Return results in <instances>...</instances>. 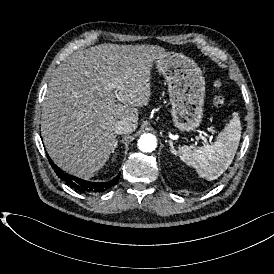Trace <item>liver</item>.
Returning a JSON list of instances; mask_svg holds the SVG:
<instances>
[{
  "label": "liver",
  "instance_id": "6515ba94",
  "mask_svg": "<svg viewBox=\"0 0 274 274\" xmlns=\"http://www.w3.org/2000/svg\"><path fill=\"white\" fill-rule=\"evenodd\" d=\"M160 46L102 44L60 65L43 101L42 136L55 163L90 179L117 146L115 124L137 127L138 108L152 98V69ZM120 102V103H118Z\"/></svg>",
  "mask_w": 274,
  "mask_h": 274
}]
</instances>
